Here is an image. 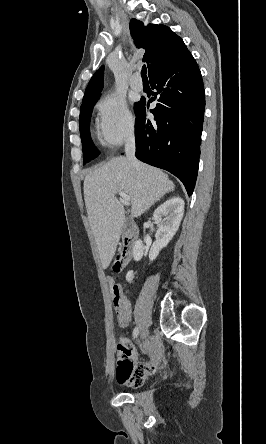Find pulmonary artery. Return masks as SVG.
I'll list each match as a JSON object with an SVG mask.
<instances>
[{
	"instance_id": "obj_1",
	"label": "pulmonary artery",
	"mask_w": 266,
	"mask_h": 444,
	"mask_svg": "<svg viewBox=\"0 0 266 444\" xmlns=\"http://www.w3.org/2000/svg\"><path fill=\"white\" fill-rule=\"evenodd\" d=\"M138 73H135L130 81V86L134 91L140 92L143 90V83L137 80Z\"/></svg>"
}]
</instances>
